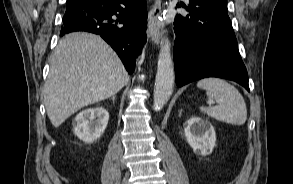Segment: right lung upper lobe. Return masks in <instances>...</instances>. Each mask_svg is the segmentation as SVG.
I'll return each mask as SVG.
<instances>
[{
    "mask_svg": "<svg viewBox=\"0 0 293 184\" xmlns=\"http://www.w3.org/2000/svg\"><path fill=\"white\" fill-rule=\"evenodd\" d=\"M88 0H67V10L80 6Z\"/></svg>",
    "mask_w": 293,
    "mask_h": 184,
    "instance_id": "cb5924a9",
    "label": "right lung upper lobe"
}]
</instances>
